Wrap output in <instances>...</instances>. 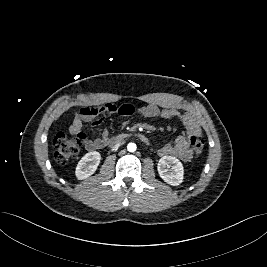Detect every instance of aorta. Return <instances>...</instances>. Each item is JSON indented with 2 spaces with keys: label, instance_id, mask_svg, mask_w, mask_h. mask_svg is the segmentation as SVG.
<instances>
[{
  "label": "aorta",
  "instance_id": "aorta-1",
  "mask_svg": "<svg viewBox=\"0 0 267 267\" xmlns=\"http://www.w3.org/2000/svg\"><path fill=\"white\" fill-rule=\"evenodd\" d=\"M127 149H128L129 152H134V151H136L137 146H136L135 143H129V144L127 145Z\"/></svg>",
  "mask_w": 267,
  "mask_h": 267
}]
</instances>
